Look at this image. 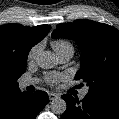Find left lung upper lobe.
<instances>
[{"label":"left lung upper lobe","instance_id":"obj_1","mask_svg":"<svg viewBox=\"0 0 119 119\" xmlns=\"http://www.w3.org/2000/svg\"><path fill=\"white\" fill-rule=\"evenodd\" d=\"M52 37L74 40L81 51V69L75 79L88 93L119 97V31L107 24L76 20L57 25Z\"/></svg>","mask_w":119,"mask_h":119}]
</instances>
